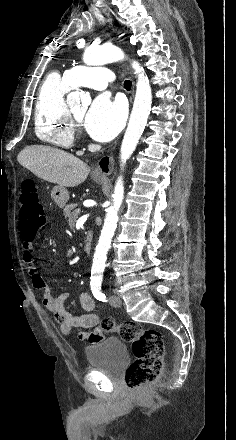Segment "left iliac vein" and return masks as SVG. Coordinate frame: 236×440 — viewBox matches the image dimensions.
Instances as JSON below:
<instances>
[{
	"label": "left iliac vein",
	"mask_w": 236,
	"mask_h": 440,
	"mask_svg": "<svg viewBox=\"0 0 236 440\" xmlns=\"http://www.w3.org/2000/svg\"><path fill=\"white\" fill-rule=\"evenodd\" d=\"M109 303L114 307H119L122 305V300L117 295H112L109 297Z\"/></svg>",
	"instance_id": "1"
}]
</instances>
